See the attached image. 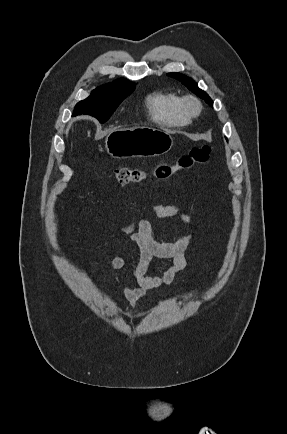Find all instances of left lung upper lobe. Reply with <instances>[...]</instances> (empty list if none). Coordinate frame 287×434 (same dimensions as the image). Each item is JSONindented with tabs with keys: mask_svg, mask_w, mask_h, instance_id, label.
<instances>
[{
	"mask_svg": "<svg viewBox=\"0 0 287 434\" xmlns=\"http://www.w3.org/2000/svg\"><path fill=\"white\" fill-rule=\"evenodd\" d=\"M167 75L182 81L184 85L188 87V89H190L193 93L204 99L209 105L213 106V101L211 100V98L204 91L199 89L197 84L191 78L187 77L184 74L175 72L168 73Z\"/></svg>",
	"mask_w": 287,
	"mask_h": 434,
	"instance_id": "1",
	"label": "left lung upper lobe"
}]
</instances>
